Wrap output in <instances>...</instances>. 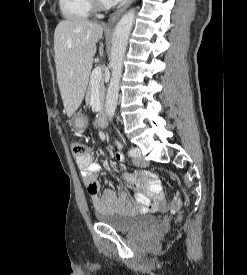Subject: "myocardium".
Here are the masks:
<instances>
[{
    "instance_id": "obj_1",
    "label": "myocardium",
    "mask_w": 247,
    "mask_h": 275,
    "mask_svg": "<svg viewBox=\"0 0 247 275\" xmlns=\"http://www.w3.org/2000/svg\"><path fill=\"white\" fill-rule=\"evenodd\" d=\"M94 8L97 10H104L111 6L107 0H90Z\"/></svg>"
}]
</instances>
